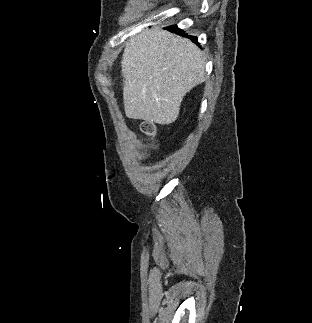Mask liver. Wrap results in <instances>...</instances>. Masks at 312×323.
<instances>
[{
    "label": "liver",
    "instance_id": "liver-1",
    "mask_svg": "<svg viewBox=\"0 0 312 323\" xmlns=\"http://www.w3.org/2000/svg\"><path fill=\"white\" fill-rule=\"evenodd\" d=\"M205 64L191 40L162 28L132 36L121 60L127 118L173 124L184 96L204 82Z\"/></svg>",
    "mask_w": 312,
    "mask_h": 323
}]
</instances>
